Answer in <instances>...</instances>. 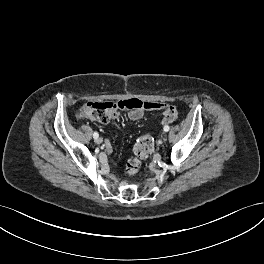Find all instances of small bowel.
<instances>
[{"label":"small bowel","mask_w":264,"mask_h":264,"mask_svg":"<svg viewBox=\"0 0 264 264\" xmlns=\"http://www.w3.org/2000/svg\"><path fill=\"white\" fill-rule=\"evenodd\" d=\"M124 102L128 103L129 106L123 107L122 109L129 110L128 117L130 120L136 121L141 119L146 112L155 111V110H164V118L163 124H168L174 122L178 117L177 109L163 102H154L147 101L143 102L137 98H131L128 100H124ZM107 152H111L110 144L106 143Z\"/></svg>","instance_id":"1"}]
</instances>
